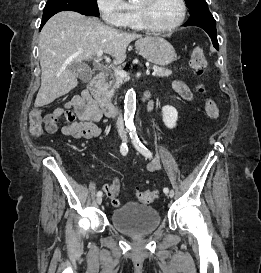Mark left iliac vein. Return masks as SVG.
Wrapping results in <instances>:
<instances>
[{
    "label": "left iliac vein",
    "instance_id": "4c4485c4",
    "mask_svg": "<svg viewBox=\"0 0 261 273\" xmlns=\"http://www.w3.org/2000/svg\"><path fill=\"white\" fill-rule=\"evenodd\" d=\"M166 194H167V193H166ZM168 196L172 198V197L174 196V192L171 190V191L168 193Z\"/></svg>",
    "mask_w": 261,
    "mask_h": 273
}]
</instances>
